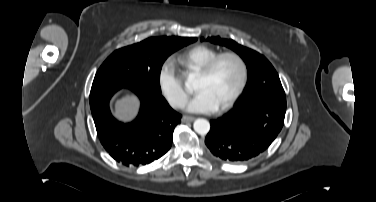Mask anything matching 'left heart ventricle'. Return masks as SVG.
Returning <instances> with one entry per match:
<instances>
[{
    "instance_id": "1",
    "label": "left heart ventricle",
    "mask_w": 376,
    "mask_h": 202,
    "mask_svg": "<svg viewBox=\"0 0 376 202\" xmlns=\"http://www.w3.org/2000/svg\"><path fill=\"white\" fill-rule=\"evenodd\" d=\"M240 81V69L235 60L222 59L208 77L197 76L195 89L206 90L213 101L220 107L236 90Z\"/></svg>"
}]
</instances>
